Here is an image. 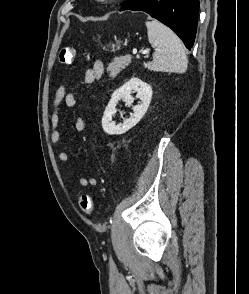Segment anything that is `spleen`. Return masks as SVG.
<instances>
[{
  "instance_id": "spleen-1",
  "label": "spleen",
  "mask_w": 249,
  "mask_h": 294,
  "mask_svg": "<svg viewBox=\"0 0 249 294\" xmlns=\"http://www.w3.org/2000/svg\"><path fill=\"white\" fill-rule=\"evenodd\" d=\"M148 39L155 48L153 60L144 63L149 70L157 72L184 73L187 70L185 48L177 35L159 21L148 18L146 21Z\"/></svg>"
}]
</instances>
